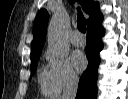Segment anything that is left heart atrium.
<instances>
[{
	"label": "left heart atrium",
	"instance_id": "1",
	"mask_svg": "<svg viewBox=\"0 0 128 99\" xmlns=\"http://www.w3.org/2000/svg\"><path fill=\"white\" fill-rule=\"evenodd\" d=\"M73 62L78 71H83L87 66V59L81 52L73 55Z\"/></svg>",
	"mask_w": 128,
	"mask_h": 99
}]
</instances>
